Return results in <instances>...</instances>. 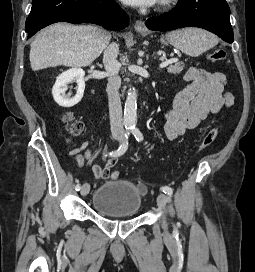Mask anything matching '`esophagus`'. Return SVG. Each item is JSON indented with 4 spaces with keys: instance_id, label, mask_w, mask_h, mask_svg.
<instances>
[{
    "instance_id": "34e87169",
    "label": "esophagus",
    "mask_w": 255,
    "mask_h": 272,
    "mask_svg": "<svg viewBox=\"0 0 255 272\" xmlns=\"http://www.w3.org/2000/svg\"><path fill=\"white\" fill-rule=\"evenodd\" d=\"M134 28L137 32H141V33L147 32V29H146L144 22L142 20H137L135 22Z\"/></svg>"
}]
</instances>
